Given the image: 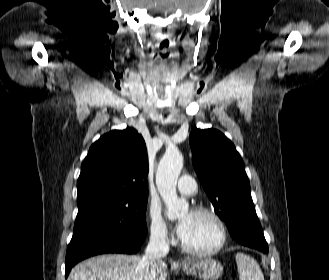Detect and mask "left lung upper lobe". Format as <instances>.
I'll return each instance as SVG.
<instances>
[{
    "label": "left lung upper lobe",
    "mask_w": 329,
    "mask_h": 280,
    "mask_svg": "<svg viewBox=\"0 0 329 280\" xmlns=\"http://www.w3.org/2000/svg\"><path fill=\"white\" fill-rule=\"evenodd\" d=\"M189 140L194 168L215 213L226 222L229 232L248 225L255 208L244 162L234 144L218 130L196 127Z\"/></svg>",
    "instance_id": "5c2ea615"
}]
</instances>
